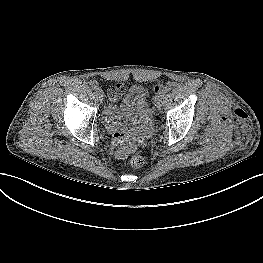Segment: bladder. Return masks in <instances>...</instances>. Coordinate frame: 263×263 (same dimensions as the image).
Listing matches in <instances>:
<instances>
[{
    "instance_id": "1",
    "label": "bladder",
    "mask_w": 263,
    "mask_h": 263,
    "mask_svg": "<svg viewBox=\"0 0 263 263\" xmlns=\"http://www.w3.org/2000/svg\"><path fill=\"white\" fill-rule=\"evenodd\" d=\"M112 108L109 116L116 121L115 124H129L134 131L137 128L145 129L150 121L145 100L140 93L131 92L120 97ZM137 119L139 122L137 123ZM127 129V127H124Z\"/></svg>"
}]
</instances>
